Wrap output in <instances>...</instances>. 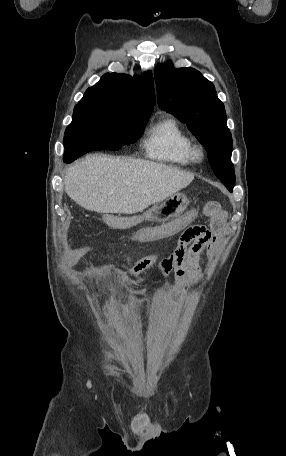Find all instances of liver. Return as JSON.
<instances>
[{
  "mask_svg": "<svg viewBox=\"0 0 286 456\" xmlns=\"http://www.w3.org/2000/svg\"><path fill=\"white\" fill-rule=\"evenodd\" d=\"M194 174L161 163L93 154L67 169V195L98 213L134 214L188 186Z\"/></svg>",
  "mask_w": 286,
  "mask_h": 456,
  "instance_id": "obj_1",
  "label": "liver"
}]
</instances>
